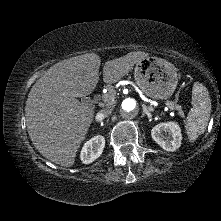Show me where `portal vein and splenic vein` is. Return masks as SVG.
Masks as SVG:
<instances>
[{
    "label": "portal vein and splenic vein",
    "instance_id": "1",
    "mask_svg": "<svg viewBox=\"0 0 221 221\" xmlns=\"http://www.w3.org/2000/svg\"><path fill=\"white\" fill-rule=\"evenodd\" d=\"M165 105L169 107L171 110H175V107L170 102H165Z\"/></svg>",
    "mask_w": 221,
    "mask_h": 221
}]
</instances>
